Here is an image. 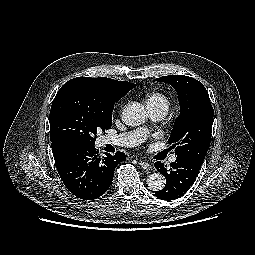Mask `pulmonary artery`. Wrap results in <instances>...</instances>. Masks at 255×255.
<instances>
[{
    "label": "pulmonary artery",
    "instance_id": "1",
    "mask_svg": "<svg viewBox=\"0 0 255 255\" xmlns=\"http://www.w3.org/2000/svg\"><path fill=\"white\" fill-rule=\"evenodd\" d=\"M149 113L154 120H162L166 113V109L157 108L149 109ZM147 136L146 129H139L127 133H122L118 135H109L105 138V143L112 144L119 147H135L143 143ZM177 156L175 154L170 156V162H175Z\"/></svg>",
    "mask_w": 255,
    "mask_h": 255
}]
</instances>
